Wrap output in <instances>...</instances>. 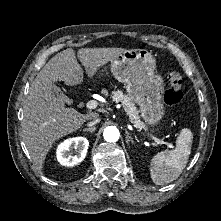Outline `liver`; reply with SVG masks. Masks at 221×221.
I'll return each mask as SVG.
<instances>
[{
	"instance_id": "6515ba94",
	"label": "liver",
	"mask_w": 221,
	"mask_h": 221,
	"mask_svg": "<svg viewBox=\"0 0 221 221\" xmlns=\"http://www.w3.org/2000/svg\"><path fill=\"white\" fill-rule=\"evenodd\" d=\"M124 48H81L77 57L87 75L92 78L100 67L124 53ZM83 69L72 48L61 51L52 57L38 73L30 85L23 107L22 134L24 143L37 168L41 171L46 155L58 139L81 128L87 120L98 114H82L73 108H66L57 97L52 84L63 81L68 86L83 82Z\"/></svg>"
}]
</instances>
